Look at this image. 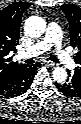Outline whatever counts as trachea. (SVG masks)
Instances as JSON below:
<instances>
[{
    "label": "trachea",
    "instance_id": "obj_1",
    "mask_svg": "<svg viewBox=\"0 0 81 124\" xmlns=\"http://www.w3.org/2000/svg\"><path fill=\"white\" fill-rule=\"evenodd\" d=\"M49 60H51V61H53L55 63H58L59 62V60L55 56H50L49 57ZM33 62H34V60L31 59V58L26 60V63H28V64H32Z\"/></svg>",
    "mask_w": 81,
    "mask_h": 124
}]
</instances>
